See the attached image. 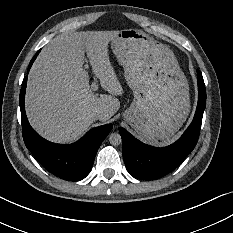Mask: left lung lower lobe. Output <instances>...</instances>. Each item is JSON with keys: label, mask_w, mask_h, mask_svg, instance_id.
Returning <instances> with one entry per match:
<instances>
[{"label": "left lung lower lobe", "mask_w": 233, "mask_h": 233, "mask_svg": "<svg viewBox=\"0 0 233 233\" xmlns=\"http://www.w3.org/2000/svg\"><path fill=\"white\" fill-rule=\"evenodd\" d=\"M198 104L192 123L175 143L155 148L143 144L127 130L120 127L123 159L129 173L141 180H154L173 171L197 144L203 112L206 105V89L202 73L197 70Z\"/></svg>", "instance_id": "1"}]
</instances>
